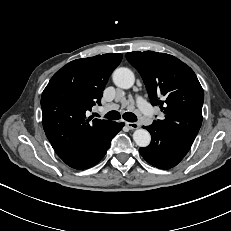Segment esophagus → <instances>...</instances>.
<instances>
[{
  "mask_svg": "<svg viewBox=\"0 0 231 231\" xmlns=\"http://www.w3.org/2000/svg\"><path fill=\"white\" fill-rule=\"evenodd\" d=\"M126 125L129 129H137L139 128V124L136 122H126Z\"/></svg>",
  "mask_w": 231,
  "mask_h": 231,
  "instance_id": "1",
  "label": "esophagus"
}]
</instances>
